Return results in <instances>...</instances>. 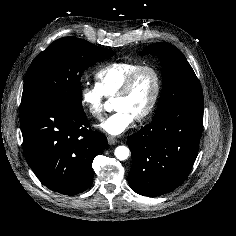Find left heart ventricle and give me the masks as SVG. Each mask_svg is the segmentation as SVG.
Here are the masks:
<instances>
[{"mask_svg": "<svg viewBox=\"0 0 236 236\" xmlns=\"http://www.w3.org/2000/svg\"><path fill=\"white\" fill-rule=\"evenodd\" d=\"M154 91V76L151 72L144 71L139 75L127 96L114 100V108L126 110L135 118L149 106Z\"/></svg>", "mask_w": 236, "mask_h": 236, "instance_id": "1", "label": "left heart ventricle"}]
</instances>
